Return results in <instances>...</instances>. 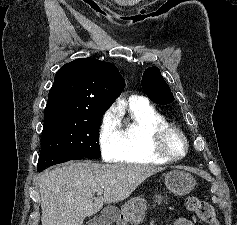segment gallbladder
I'll return each instance as SVG.
<instances>
[{
    "instance_id": "obj_1",
    "label": "gallbladder",
    "mask_w": 237,
    "mask_h": 225,
    "mask_svg": "<svg viewBox=\"0 0 237 225\" xmlns=\"http://www.w3.org/2000/svg\"><path fill=\"white\" fill-rule=\"evenodd\" d=\"M111 221L106 217H102L94 222L89 223L88 225H110Z\"/></svg>"
}]
</instances>
